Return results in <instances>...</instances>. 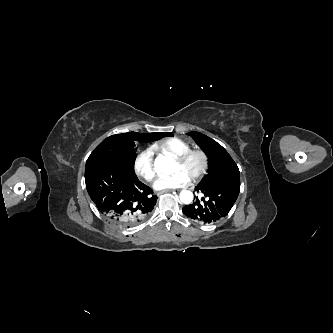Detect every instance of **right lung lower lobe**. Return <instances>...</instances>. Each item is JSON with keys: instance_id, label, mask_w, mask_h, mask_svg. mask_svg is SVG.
Listing matches in <instances>:
<instances>
[{"instance_id": "1", "label": "right lung lower lobe", "mask_w": 333, "mask_h": 333, "mask_svg": "<svg viewBox=\"0 0 333 333\" xmlns=\"http://www.w3.org/2000/svg\"><path fill=\"white\" fill-rule=\"evenodd\" d=\"M85 183L98 210L119 228L144 220L157 201L150 187L136 175L111 165L86 166Z\"/></svg>"}]
</instances>
